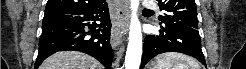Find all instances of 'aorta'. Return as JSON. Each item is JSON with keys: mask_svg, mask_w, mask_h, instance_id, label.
<instances>
[{"mask_svg": "<svg viewBox=\"0 0 246 69\" xmlns=\"http://www.w3.org/2000/svg\"><path fill=\"white\" fill-rule=\"evenodd\" d=\"M139 0H131L129 42L125 56V69H139L142 57V31L137 10Z\"/></svg>", "mask_w": 246, "mask_h": 69, "instance_id": "aorta-1", "label": "aorta"}]
</instances>
